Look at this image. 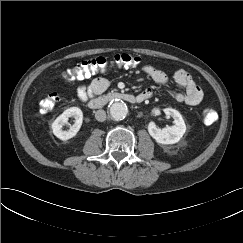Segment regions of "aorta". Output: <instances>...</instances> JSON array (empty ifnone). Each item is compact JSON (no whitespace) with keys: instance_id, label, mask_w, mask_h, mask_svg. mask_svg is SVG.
I'll return each instance as SVG.
<instances>
[{"instance_id":"1","label":"aorta","mask_w":243,"mask_h":243,"mask_svg":"<svg viewBox=\"0 0 243 243\" xmlns=\"http://www.w3.org/2000/svg\"><path fill=\"white\" fill-rule=\"evenodd\" d=\"M109 112L114 120H123L128 113V107L124 101L115 100L110 104Z\"/></svg>"}]
</instances>
